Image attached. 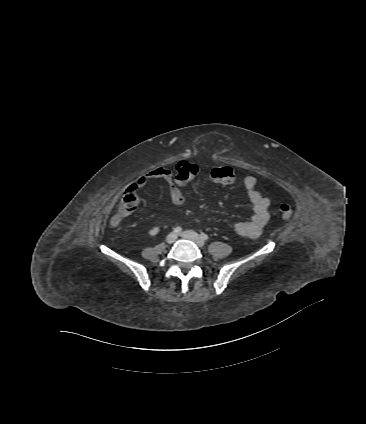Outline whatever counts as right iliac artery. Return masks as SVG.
<instances>
[{
    "label": "right iliac artery",
    "mask_w": 366,
    "mask_h": 424,
    "mask_svg": "<svg viewBox=\"0 0 366 424\" xmlns=\"http://www.w3.org/2000/svg\"><path fill=\"white\" fill-rule=\"evenodd\" d=\"M181 231H182V228L181 227H176L173 230V232L176 233V234L180 233Z\"/></svg>",
    "instance_id": "1"
}]
</instances>
